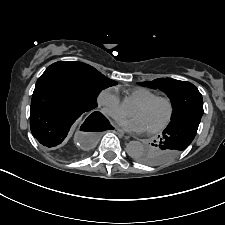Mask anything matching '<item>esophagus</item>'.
Segmentation results:
<instances>
[{"label":"esophagus","instance_id":"obj_1","mask_svg":"<svg viewBox=\"0 0 225 225\" xmlns=\"http://www.w3.org/2000/svg\"><path fill=\"white\" fill-rule=\"evenodd\" d=\"M114 132L116 134L120 135V136H124L125 135L124 131L122 129L118 128V127H115Z\"/></svg>","mask_w":225,"mask_h":225}]
</instances>
